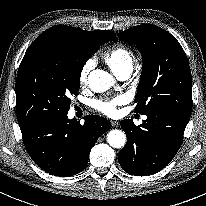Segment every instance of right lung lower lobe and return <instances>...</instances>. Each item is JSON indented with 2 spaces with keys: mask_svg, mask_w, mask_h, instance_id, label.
<instances>
[{
  "mask_svg": "<svg viewBox=\"0 0 206 206\" xmlns=\"http://www.w3.org/2000/svg\"><path fill=\"white\" fill-rule=\"evenodd\" d=\"M111 128L100 116L88 115L80 125L67 115L21 129L25 148L32 160L44 171L59 177L83 171L91 148Z\"/></svg>",
  "mask_w": 206,
  "mask_h": 206,
  "instance_id": "98d812e1",
  "label": "right lung lower lobe"
}]
</instances>
